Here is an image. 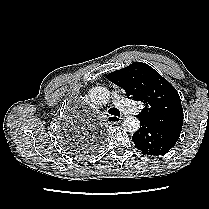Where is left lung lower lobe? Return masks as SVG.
<instances>
[{
	"label": "left lung lower lobe",
	"instance_id": "left-lung-lower-lobe-1",
	"mask_svg": "<svg viewBox=\"0 0 209 209\" xmlns=\"http://www.w3.org/2000/svg\"><path fill=\"white\" fill-rule=\"evenodd\" d=\"M180 134L161 130L147 122L140 121V128L132 140L144 154L159 156L166 154L177 142Z\"/></svg>",
	"mask_w": 209,
	"mask_h": 209
}]
</instances>
